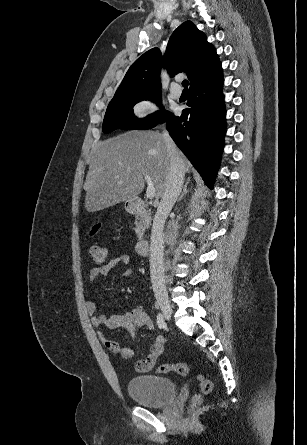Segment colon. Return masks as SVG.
Returning a JSON list of instances; mask_svg holds the SVG:
<instances>
[{
    "label": "colon",
    "mask_w": 307,
    "mask_h": 445,
    "mask_svg": "<svg viewBox=\"0 0 307 445\" xmlns=\"http://www.w3.org/2000/svg\"><path fill=\"white\" fill-rule=\"evenodd\" d=\"M100 229V224L95 225L92 228V233H96ZM89 254L93 263L97 267H102L106 263L108 251L104 246L92 245L89 249ZM157 371L159 373H176L178 375H187L189 372V366L186 363H174V364H161ZM200 385V394L194 397L195 402H199L202 395L208 394L212 391V382L204 375H198L197 377Z\"/></svg>",
    "instance_id": "colon-1"
}]
</instances>
